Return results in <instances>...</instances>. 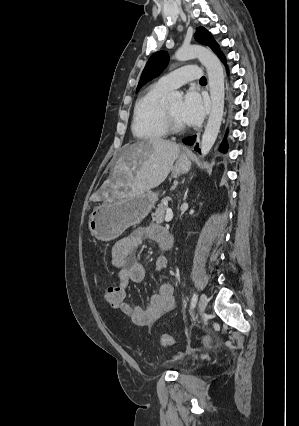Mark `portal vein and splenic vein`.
Instances as JSON below:
<instances>
[{
	"label": "portal vein and splenic vein",
	"mask_w": 299,
	"mask_h": 426,
	"mask_svg": "<svg viewBox=\"0 0 299 426\" xmlns=\"http://www.w3.org/2000/svg\"><path fill=\"white\" fill-rule=\"evenodd\" d=\"M172 217H173L172 210L170 208H168L167 213H166V217H165V222H170L172 220Z\"/></svg>",
	"instance_id": "1"
}]
</instances>
